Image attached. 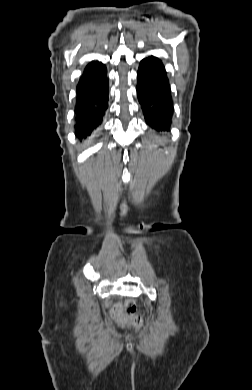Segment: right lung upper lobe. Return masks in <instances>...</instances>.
Returning <instances> with one entry per match:
<instances>
[{
  "label": "right lung upper lobe",
  "mask_w": 252,
  "mask_h": 390,
  "mask_svg": "<svg viewBox=\"0 0 252 390\" xmlns=\"http://www.w3.org/2000/svg\"><path fill=\"white\" fill-rule=\"evenodd\" d=\"M104 65L98 61H93L92 63L88 64L86 68L84 69V73H94L100 69H102Z\"/></svg>",
  "instance_id": "cb5924a9"
}]
</instances>
